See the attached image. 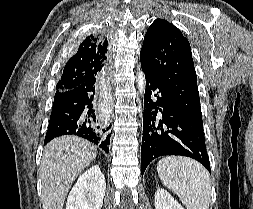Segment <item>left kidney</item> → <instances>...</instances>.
Instances as JSON below:
<instances>
[{"mask_svg": "<svg viewBox=\"0 0 253 209\" xmlns=\"http://www.w3.org/2000/svg\"><path fill=\"white\" fill-rule=\"evenodd\" d=\"M156 209H184L166 190L159 188L155 193Z\"/></svg>", "mask_w": 253, "mask_h": 209, "instance_id": "left-kidney-1", "label": "left kidney"}]
</instances>
